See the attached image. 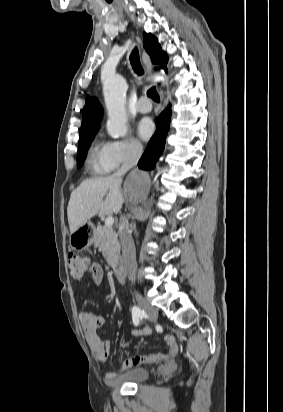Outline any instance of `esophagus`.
<instances>
[{
  "instance_id": "obj_1",
  "label": "esophagus",
  "mask_w": 283,
  "mask_h": 412,
  "mask_svg": "<svg viewBox=\"0 0 283 412\" xmlns=\"http://www.w3.org/2000/svg\"><path fill=\"white\" fill-rule=\"evenodd\" d=\"M143 62H144V65H145V69L148 72H151L152 71V66H151L150 60L148 59V57L146 56L145 53L143 54Z\"/></svg>"
}]
</instances>
